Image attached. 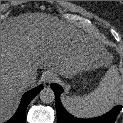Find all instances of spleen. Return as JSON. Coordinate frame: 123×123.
<instances>
[{
    "instance_id": "1",
    "label": "spleen",
    "mask_w": 123,
    "mask_h": 123,
    "mask_svg": "<svg viewBox=\"0 0 123 123\" xmlns=\"http://www.w3.org/2000/svg\"><path fill=\"white\" fill-rule=\"evenodd\" d=\"M123 81L116 65H112L96 89L87 95L66 97L68 111L79 118H91L108 112L119 99Z\"/></svg>"
}]
</instances>
